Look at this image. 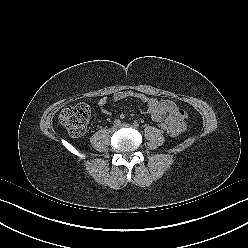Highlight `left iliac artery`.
<instances>
[{
	"mask_svg": "<svg viewBox=\"0 0 248 248\" xmlns=\"http://www.w3.org/2000/svg\"><path fill=\"white\" fill-rule=\"evenodd\" d=\"M138 126H139L138 122L135 121V122L133 123V127L137 128Z\"/></svg>",
	"mask_w": 248,
	"mask_h": 248,
	"instance_id": "1",
	"label": "left iliac artery"
}]
</instances>
